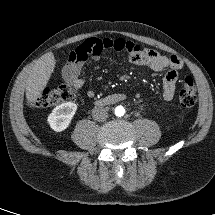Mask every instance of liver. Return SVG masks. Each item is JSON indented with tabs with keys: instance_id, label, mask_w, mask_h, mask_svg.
<instances>
[{
	"instance_id": "obj_1",
	"label": "liver",
	"mask_w": 215,
	"mask_h": 215,
	"mask_svg": "<svg viewBox=\"0 0 215 215\" xmlns=\"http://www.w3.org/2000/svg\"><path fill=\"white\" fill-rule=\"evenodd\" d=\"M55 58L52 52L44 54L33 65L26 79V99L33 103L45 89L55 67Z\"/></svg>"
}]
</instances>
